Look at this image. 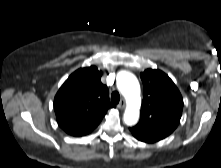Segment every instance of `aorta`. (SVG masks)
I'll return each mask as SVG.
<instances>
[{"label": "aorta", "mask_w": 221, "mask_h": 168, "mask_svg": "<svg viewBox=\"0 0 221 168\" xmlns=\"http://www.w3.org/2000/svg\"><path fill=\"white\" fill-rule=\"evenodd\" d=\"M117 87L125 97L127 106L123 115L124 123L135 125L139 120L140 85L136 76L128 71H121L117 76Z\"/></svg>", "instance_id": "1"}]
</instances>
